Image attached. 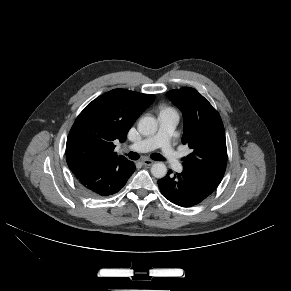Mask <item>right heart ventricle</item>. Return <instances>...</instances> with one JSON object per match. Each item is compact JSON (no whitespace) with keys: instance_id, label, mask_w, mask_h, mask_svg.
Returning a JSON list of instances; mask_svg holds the SVG:
<instances>
[{"instance_id":"obj_1","label":"right heart ventricle","mask_w":291,"mask_h":291,"mask_svg":"<svg viewBox=\"0 0 291 291\" xmlns=\"http://www.w3.org/2000/svg\"><path fill=\"white\" fill-rule=\"evenodd\" d=\"M172 109H170V108H167V107H162V110H161V112H165V111H171Z\"/></svg>"}]
</instances>
